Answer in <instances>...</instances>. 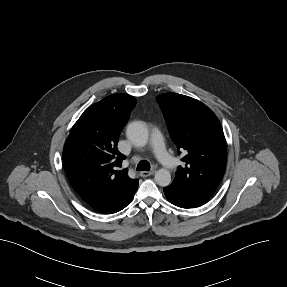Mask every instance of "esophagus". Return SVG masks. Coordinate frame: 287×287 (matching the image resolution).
Returning <instances> with one entry per match:
<instances>
[{
  "label": "esophagus",
  "instance_id": "34e87169",
  "mask_svg": "<svg viewBox=\"0 0 287 287\" xmlns=\"http://www.w3.org/2000/svg\"><path fill=\"white\" fill-rule=\"evenodd\" d=\"M154 172H155L154 170H151V171H142V172H140V176H141V177H148V176L153 175Z\"/></svg>",
  "mask_w": 287,
  "mask_h": 287
}]
</instances>
